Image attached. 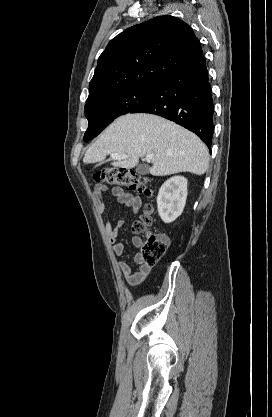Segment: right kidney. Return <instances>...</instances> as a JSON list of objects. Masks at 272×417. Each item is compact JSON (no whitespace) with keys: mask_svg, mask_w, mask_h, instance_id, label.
Wrapping results in <instances>:
<instances>
[{"mask_svg":"<svg viewBox=\"0 0 272 417\" xmlns=\"http://www.w3.org/2000/svg\"><path fill=\"white\" fill-rule=\"evenodd\" d=\"M186 198V178L175 176L164 182L157 196L158 214L164 223H171L182 214Z\"/></svg>","mask_w":272,"mask_h":417,"instance_id":"ca27d5eb","label":"right kidney"}]
</instances>
